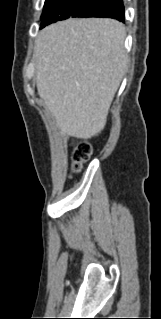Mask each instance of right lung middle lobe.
I'll list each match as a JSON object with an SVG mask.
<instances>
[{"label":"right lung middle lobe","mask_w":161,"mask_h":319,"mask_svg":"<svg viewBox=\"0 0 161 319\" xmlns=\"http://www.w3.org/2000/svg\"><path fill=\"white\" fill-rule=\"evenodd\" d=\"M99 0H46L41 15V27L70 17H81Z\"/></svg>","instance_id":"right-lung-middle-lobe-1"}]
</instances>
